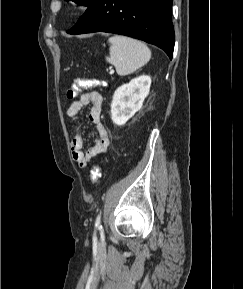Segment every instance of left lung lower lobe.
<instances>
[{
  "mask_svg": "<svg viewBox=\"0 0 243 289\" xmlns=\"http://www.w3.org/2000/svg\"><path fill=\"white\" fill-rule=\"evenodd\" d=\"M172 0H93L67 31L69 34L108 32L154 44L172 59Z\"/></svg>",
  "mask_w": 243,
  "mask_h": 289,
  "instance_id": "1",
  "label": "left lung lower lobe"
}]
</instances>
